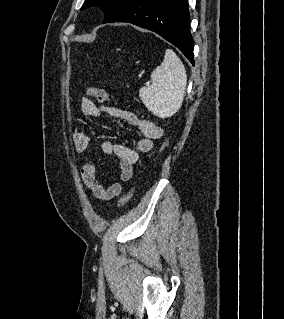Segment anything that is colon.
Masks as SVG:
<instances>
[{
	"label": "colon",
	"mask_w": 284,
	"mask_h": 319,
	"mask_svg": "<svg viewBox=\"0 0 284 319\" xmlns=\"http://www.w3.org/2000/svg\"><path fill=\"white\" fill-rule=\"evenodd\" d=\"M87 93L88 95L95 98L99 102L109 101V95L107 91L101 87L90 86L87 89ZM132 194H133V190L130 189L124 195H122L117 203L118 208L125 206L128 203V201L131 199Z\"/></svg>",
	"instance_id": "1"
}]
</instances>
